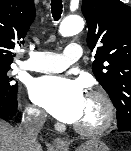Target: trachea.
Returning a JSON list of instances; mask_svg holds the SVG:
<instances>
[{
    "instance_id": "3493384b",
    "label": "trachea",
    "mask_w": 131,
    "mask_h": 151,
    "mask_svg": "<svg viewBox=\"0 0 131 151\" xmlns=\"http://www.w3.org/2000/svg\"><path fill=\"white\" fill-rule=\"evenodd\" d=\"M62 8V0H51V10L55 21L61 18Z\"/></svg>"
}]
</instances>
